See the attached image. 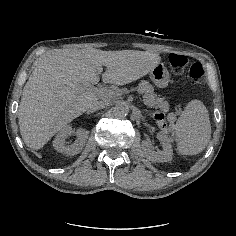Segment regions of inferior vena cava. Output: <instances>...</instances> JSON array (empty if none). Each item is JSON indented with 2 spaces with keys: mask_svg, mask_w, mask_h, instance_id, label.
I'll return each mask as SVG.
<instances>
[{
  "mask_svg": "<svg viewBox=\"0 0 236 236\" xmlns=\"http://www.w3.org/2000/svg\"><path fill=\"white\" fill-rule=\"evenodd\" d=\"M109 104H110V101H107V100L97 101L92 106H90V109L91 110H100V109H103V108L109 106Z\"/></svg>",
  "mask_w": 236,
  "mask_h": 236,
  "instance_id": "1",
  "label": "inferior vena cava"
}]
</instances>
